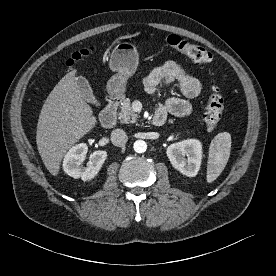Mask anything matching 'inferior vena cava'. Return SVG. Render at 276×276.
Segmentation results:
<instances>
[{"instance_id":"inferior-vena-cava-1","label":"inferior vena cava","mask_w":276,"mask_h":276,"mask_svg":"<svg viewBox=\"0 0 276 276\" xmlns=\"http://www.w3.org/2000/svg\"><path fill=\"white\" fill-rule=\"evenodd\" d=\"M128 140L127 134L122 129H115L111 133V142L115 146H124Z\"/></svg>"}]
</instances>
